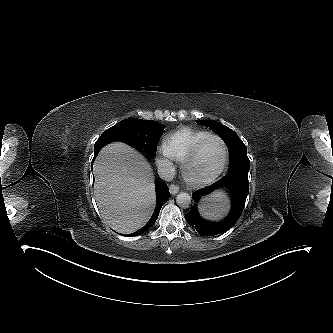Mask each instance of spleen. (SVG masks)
Listing matches in <instances>:
<instances>
[{
  "mask_svg": "<svg viewBox=\"0 0 333 333\" xmlns=\"http://www.w3.org/2000/svg\"><path fill=\"white\" fill-rule=\"evenodd\" d=\"M228 198L223 191H216L204 199L200 205V213L203 217L217 219L228 211Z\"/></svg>",
  "mask_w": 333,
  "mask_h": 333,
  "instance_id": "obj_1",
  "label": "spleen"
}]
</instances>
